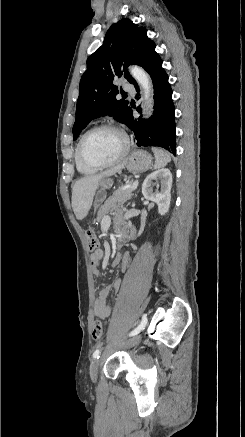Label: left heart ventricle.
Returning <instances> with one entry per match:
<instances>
[{"mask_svg":"<svg viewBox=\"0 0 245 437\" xmlns=\"http://www.w3.org/2000/svg\"><path fill=\"white\" fill-rule=\"evenodd\" d=\"M123 138L113 130H99L90 134L83 143L85 156L94 162H109L120 155Z\"/></svg>","mask_w":245,"mask_h":437,"instance_id":"1","label":"left heart ventricle"}]
</instances>
